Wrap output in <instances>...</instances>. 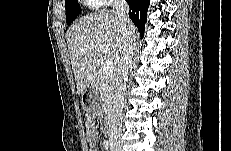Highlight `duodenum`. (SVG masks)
Here are the masks:
<instances>
[{
    "label": "duodenum",
    "instance_id": "410a0bca",
    "mask_svg": "<svg viewBox=\"0 0 231 151\" xmlns=\"http://www.w3.org/2000/svg\"><path fill=\"white\" fill-rule=\"evenodd\" d=\"M111 119V116H110V113L109 112H106V121L110 120Z\"/></svg>",
    "mask_w": 231,
    "mask_h": 151
}]
</instances>
